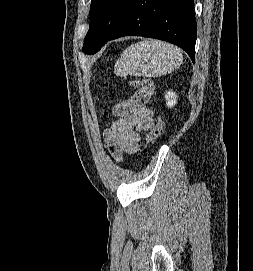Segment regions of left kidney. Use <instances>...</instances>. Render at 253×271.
<instances>
[{"label":"left kidney","instance_id":"obj_1","mask_svg":"<svg viewBox=\"0 0 253 271\" xmlns=\"http://www.w3.org/2000/svg\"><path fill=\"white\" fill-rule=\"evenodd\" d=\"M177 98L178 95L173 92L172 90H169L165 93V100H166V105L168 108H172L176 105L177 103Z\"/></svg>","mask_w":253,"mask_h":271}]
</instances>
